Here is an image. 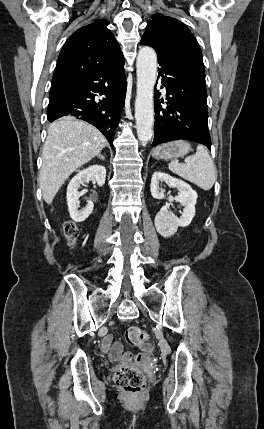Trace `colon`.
Masks as SVG:
<instances>
[{
    "label": "colon",
    "instance_id": "colon-1",
    "mask_svg": "<svg viewBox=\"0 0 264 429\" xmlns=\"http://www.w3.org/2000/svg\"><path fill=\"white\" fill-rule=\"evenodd\" d=\"M64 236L70 245H73L78 237L79 230L75 223L67 222L64 226ZM127 342L132 346H144L148 341V334L139 327H130L125 334ZM115 384L124 392L137 395L145 386L144 374L131 366L120 367L114 374Z\"/></svg>",
    "mask_w": 264,
    "mask_h": 429
}]
</instances>
